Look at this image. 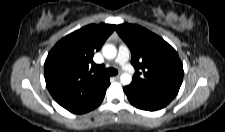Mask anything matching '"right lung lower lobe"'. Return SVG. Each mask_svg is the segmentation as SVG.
<instances>
[{
  "label": "right lung lower lobe",
  "instance_id": "obj_1",
  "mask_svg": "<svg viewBox=\"0 0 225 132\" xmlns=\"http://www.w3.org/2000/svg\"><path fill=\"white\" fill-rule=\"evenodd\" d=\"M104 96H105V93H104V95L101 97V99L98 101V103H97L93 108H91V109H89V110H87V111L76 112V113L81 114V113H85V112H88V111H90V110H93L94 108H96L97 106L100 105V103L102 102Z\"/></svg>",
  "mask_w": 225,
  "mask_h": 132
}]
</instances>
